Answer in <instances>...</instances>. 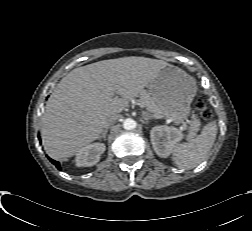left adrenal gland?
Wrapping results in <instances>:
<instances>
[{"mask_svg":"<svg viewBox=\"0 0 252 231\" xmlns=\"http://www.w3.org/2000/svg\"><path fill=\"white\" fill-rule=\"evenodd\" d=\"M144 119H145V121H146L145 123L148 124L149 120H150V119H154V118H153L152 116H150L149 114H146V115L144 116Z\"/></svg>","mask_w":252,"mask_h":231,"instance_id":"a2214340","label":"left adrenal gland"}]
</instances>
